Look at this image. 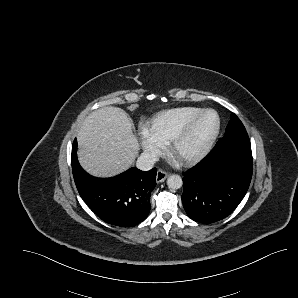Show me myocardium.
Returning a JSON list of instances; mask_svg holds the SVG:
<instances>
[{
    "instance_id": "1",
    "label": "myocardium",
    "mask_w": 298,
    "mask_h": 298,
    "mask_svg": "<svg viewBox=\"0 0 298 298\" xmlns=\"http://www.w3.org/2000/svg\"><path fill=\"white\" fill-rule=\"evenodd\" d=\"M211 114L215 119L214 130L211 135L201 144V146L191 154L177 157V150L182 139L191 131L196 123L205 115ZM220 131V119L218 114L210 109H204L192 118L185 121L179 128H177L170 137L166 138V146L168 156L181 164H192L201 160L209 151Z\"/></svg>"
}]
</instances>
